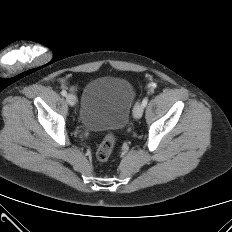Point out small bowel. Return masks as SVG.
Listing matches in <instances>:
<instances>
[{
  "label": "small bowel",
  "instance_id": "c3829d8e",
  "mask_svg": "<svg viewBox=\"0 0 232 232\" xmlns=\"http://www.w3.org/2000/svg\"><path fill=\"white\" fill-rule=\"evenodd\" d=\"M155 83L153 82V81H150L149 83H148V89H150V90H152V89H154L155 88Z\"/></svg>",
  "mask_w": 232,
  "mask_h": 232
}]
</instances>
